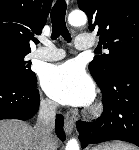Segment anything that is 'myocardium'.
Wrapping results in <instances>:
<instances>
[{"label": "myocardium", "instance_id": "myocardium-1", "mask_svg": "<svg viewBox=\"0 0 139 150\" xmlns=\"http://www.w3.org/2000/svg\"><path fill=\"white\" fill-rule=\"evenodd\" d=\"M103 110V106L101 103H97L94 106L91 107V109L89 110V114L91 116H98L99 114H101Z\"/></svg>", "mask_w": 139, "mask_h": 150}]
</instances>
